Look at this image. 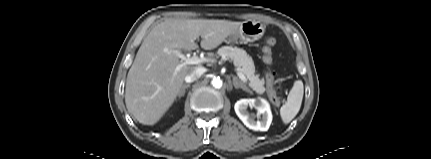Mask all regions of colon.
Returning a JSON list of instances; mask_svg holds the SVG:
<instances>
[{"label":"colon","mask_w":431,"mask_h":159,"mask_svg":"<svg viewBox=\"0 0 431 159\" xmlns=\"http://www.w3.org/2000/svg\"><path fill=\"white\" fill-rule=\"evenodd\" d=\"M276 40L274 37H268L266 39V44L264 46V61L266 63H271L272 62V55H271V47L273 45H275ZM266 83L268 86V89L270 90V92L273 94V98L274 100L277 99V95L275 93V84H276V78H275V74L272 72H268L266 74Z\"/></svg>","instance_id":"5ec220e1"}]
</instances>
